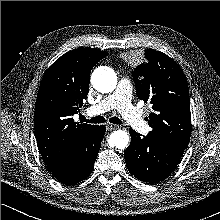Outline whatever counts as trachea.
<instances>
[{
  "label": "trachea",
  "instance_id": "3493384b",
  "mask_svg": "<svg viewBox=\"0 0 220 220\" xmlns=\"http://www.w3.org/2000/svg\"><path fill=\"white\" fill-rule=\"evenodd\" d=\"M82 122H88V123H94V124H99V123H104L106 120L103 116H96L91 118L90 120L86 119L85 117H81ZM109 122L112 124H123L122 121L118 117H112L109 119Z\"/></svg>",
  "mask_w": 220,
  "mask_h": 220
}]
</instances>
